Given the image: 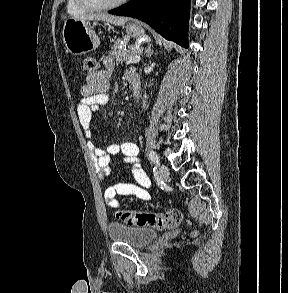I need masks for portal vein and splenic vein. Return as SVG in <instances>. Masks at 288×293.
<instances>
[{
	"label": "portal vein and splenic vein",
	"mask_w": 288,
	"mask_h": 293,
	"mask_svg": "<svg viewBox=\"0 0 288 293\" xmlns=\"http://www.w3.org/2000/svg\"><path fill=\"white\" fill-rule=\"evenodd\" d=\"M140 61V56L138 55H133L131 58L128 59V61H126L127 64L129 63H138Z\"/></svg>",
	"instance_id": "portal-vein-and-splenic-vein-1"
}]
</instances>
